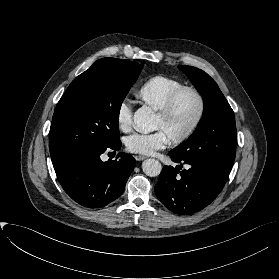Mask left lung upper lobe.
Returning a JSON list of instances; mask_svg holds the SVG:
<instances>
[{
    "mask_svg": "<svg viewBox=\"0 0 279 279\" xmlns=\"http://www.w3.org/2000/svg\"><path fill=\"white\" fill-rule=\"evenodd\" d=\"M186 72L204 101L203 116L187 141L170 152L181 160L208 162L230 172L235 159V116L216 82L204 71L187 65Z\"/></svg>",
    "mask_w": 279,
    "mask_h": 279,
    "instance_id": "5c2ea615",
    "label": "left lung upper lobe"
}]
</instances>
